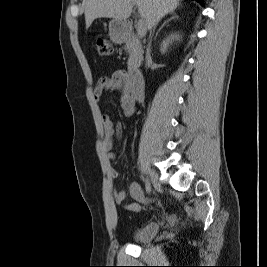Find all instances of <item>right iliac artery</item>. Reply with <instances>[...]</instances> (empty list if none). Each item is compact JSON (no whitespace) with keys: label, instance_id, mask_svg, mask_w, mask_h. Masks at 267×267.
<instances>
[{"label":"right iliac artery","instance_id":"1","mask_svg":"<svg viewBox=\"0 0 267 267\" xmlns=\"http://www.w3.org/2000/svg\"><path fill=\"white\" fill-rule=\"evenodd\" d=\"M145 187H146V192L149 194L151 192V184L148 179L145 180Z\"/></svg>","mask_w":267,"mask_h":267}]
</instances>
